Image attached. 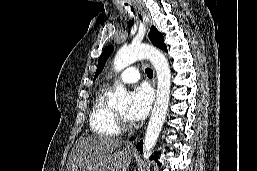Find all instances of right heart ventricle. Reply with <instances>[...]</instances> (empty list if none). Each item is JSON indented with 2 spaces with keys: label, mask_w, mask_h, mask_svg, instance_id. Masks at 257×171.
Masks as SVG:
<instances>
[{
  "label": "right heart ventricle",
  "mask_w": 257,
  "mask_h": 171,
  "mask_svg": "<svg viewBox=\"0 0 257 171\" xmlns=\"http://www.w3.org/2000/svg\"><path fill=\"white\" fill-rule=\"evenodd\" d=\"M110 89L103 87L97 93L90 115L91 130L101 136H117L120 129L116 122L115 110L110 106L108 97Z\"/></svg>",
  "instance_id": "e07e8e85"
}]
</instances>
